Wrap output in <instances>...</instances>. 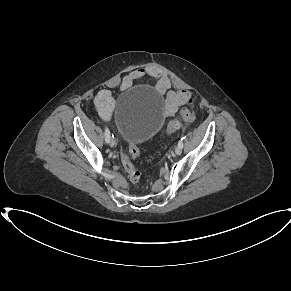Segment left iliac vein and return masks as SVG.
<instances>
[{"mask_svg": "<svg viewBox=\"0 0 291 291\" xmlns=\"http://www.w3.org/2000/svg\"><path fill=\"white\" fill-rule=\"evenodd\" d=\"M181 153H182V147L178 145V146L175 148V154H176V155H180Z\"/></svg>", "mask_w": 291, "mask_h": 291, "instance_id": "4c4485c4", "label": "left iliac vein"}]
</instances>
